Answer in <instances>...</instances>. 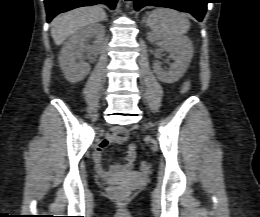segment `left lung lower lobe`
Returning a JSON list of instances; mask_svg holds the SVG:
<instances>
[{
	"label": "left lung lower lobe",
	"instance_id": "0a47b994",
	"mask_svg": "<svg viewBox=\"0 0 260 217\" xmlns=\"http://www.w3.org/2000/svg\"><path fill=\"white\" fill-rule=\"evenodd\" d=\"M135 2V10L152 5L157 7L173 8L182 12L191 13L198 21H202L208 0H130Z\"/></svg>",
	"mask_w": 260,
	"mask_h": 217
}]
</instances>
